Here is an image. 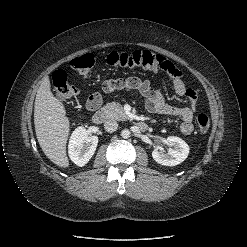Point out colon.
<instances>
[{
    "instance_id": "1",
    "label": "colon",
    "mask_w": 247,
    "mask_h": 247,
    "mask_svg": "<svg viewBox=\"0 0 247 247\" xmlns=\"http://www.w3.org/2000/svg\"><path fill=\"white\" fill-rule=\"evenodd\" d=\"M93 54H84L70 61V66L79 74L85 76L94 66ZM107 63L113 67L141 68L153 73L167 72L171 78L181 76L167 59L148 50H138L132 53L113 52L107 57ZM54 95L60 101H66L76 97L79 90L68 81L67 74L63 70H57L53 74ZM198 130L206 133L210 127V119L206 114H199L196 119Z\"/></svg>"
}]
</instances>
